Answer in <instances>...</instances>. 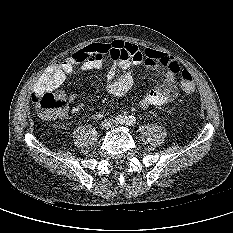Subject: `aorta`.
Listing matches in <instances>:
<instances>
[{
  "label": "aorta",
  "instance_id": "762f6f07",
  "mask_svg": "<svg viewBox=\"0 0 233 233\" xmlns=\"http://www.w3.org/2000/svg\"><path fill=\"white\" fill-rule=\"evenodd\" d=\"M129 122H130L131 124H133V123L135 122V118H134V117H131L130 120H129Z\"/></svg>",
  "mask_w": 233,
  "mask_h": 233
}]
</instances>
